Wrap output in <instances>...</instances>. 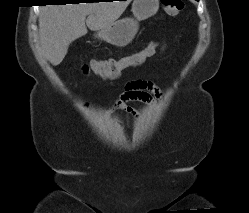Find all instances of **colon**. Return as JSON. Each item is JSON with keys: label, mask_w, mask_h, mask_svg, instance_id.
Masks as SVG:
<instances>
[{"label": "colon", "mask_w": 249, "mask_h": 213, "mask_svg": "<svg viewBox=\"0 0 249 213\" xmlns=\"http://www.w3.org/2000/svg\"><path fill=\"white\" fill-rule=\"evenodd\" d=\"M161 4L169 15H177L184 8L183 0H161ZM155 48V44H149L141 51L131 54L129 58L93 60L82 65L81 71L84 74L93 73L103 78H115L123 69L128 68L131 63L152 56L155 52Z\"/></svg>", "instance_id": "5ec220e1"}]
</instances>
